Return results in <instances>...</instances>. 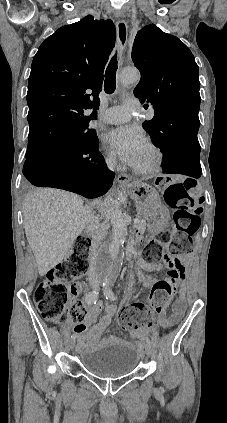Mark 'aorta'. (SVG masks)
I'll return each mask as SVG.
<instances>
[{"mask_svg":"<svg viewBox=\"0 0 227 423\" xmlns=\"http://www.w3.org/2000/svg\"><path fill=\"white\" fill-rule=\"evenodd\" d=\"M139 79L140 74L136 68L124 69L121 73L123 85L137 83ZM109 213L111 240L99 248L96 259V269L103 284H110L117 278L123 263L122 248L127 237V224L115 200L111 201Z\"/></svg>","mask_w":227,"mask_h":423,"instance_id":"aorta-1","label":"aorta"}]
</instances>
